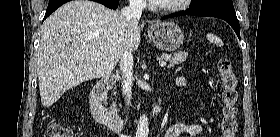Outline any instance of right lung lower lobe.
<instances>
[{
    "label": "right lung lower lobe",
    "mask_w": 280,
    "mask_h": 137,
    "mask_svg": "<svg viewBox=\"0 0 280 137\" xmlns=\"http://www.w3.org/2000/svg\"><path fill=\"white\" fill-rule=\"evenodd\" d=\"M70 0H49V4L44 16L43 21L52 13L54 12L58 7H60L62 4L68 2ZM96 2H99L103 5H105L106 7L110 8V9H116L118 7L119 4V0H93Z\"/></svg>",
    "instance_id": "98d812e1"
}]
</instances>
